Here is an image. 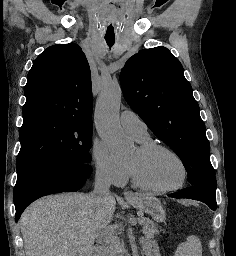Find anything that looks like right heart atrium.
<instances>
[{
	"label": "right heart atrium",
	"mask_w": 236,
	"mask_h": 256,
	"mask_svg": "<svg viewBox=\"0 0 236 256\" xmlns=\"http://www.w3.org/2000/svg\"><path fill=\"white\" fill-rule=\"evenodd\" d=\"M91 158L96 175L100 179L116 187H124L128 183L130 172L127 164L116 161L100 140H94Z\"/></svg>",
	"instance_id": "obj_1"
}]
</instances>
